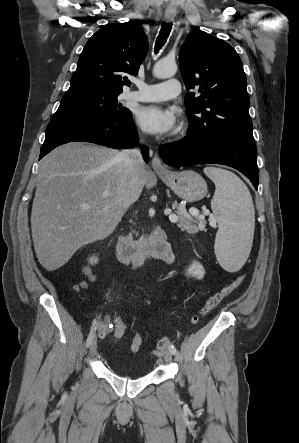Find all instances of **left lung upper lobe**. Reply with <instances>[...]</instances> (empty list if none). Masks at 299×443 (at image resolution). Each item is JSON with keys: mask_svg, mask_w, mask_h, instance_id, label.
<instances>
[{"mask_svg": "<svg viewBox=\"0 0 299 443\" xmlns=\"http://www.w3.org/2000/svg\"><path fill=\"white\" fill-rule=\"evenodd\" d=\"M190 122L187 135L202 139L253 138L250 99L241 59L225 41L192 31L179 52Z\"/></svg>", "mask_w": 299, "mask_h": 443, "instance_id": "obj_1", "label": "left lung upper lobe"}]
</instances>
